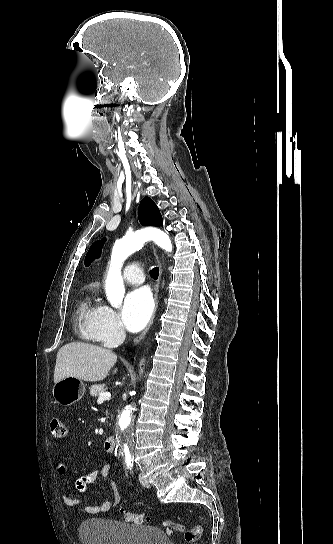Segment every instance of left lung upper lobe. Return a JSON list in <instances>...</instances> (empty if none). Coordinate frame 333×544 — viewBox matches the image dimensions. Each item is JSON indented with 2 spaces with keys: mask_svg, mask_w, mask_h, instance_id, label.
<instances>
[{
  "mask_svg": "<svg viewBox=\"0 0 333 544\" xmlns=\"http://www.w3.org/2000/svg\"><path fill=\"white\" fill-rule=\"evenodd\" d=\"M139 221L143 225L147 226H162V216L159 212V209L155 205V203L148 197L144 198L140 203ZM104 242L105 239L92 244L85 258L86 266H89L95 257H99L100 250Z\"/></svg>",
  "mask_w": 333,
  "mask_h": 544,
  "instance_id": "obj_1",
  "label": "left lung upper lobe"
}]
</instances>
